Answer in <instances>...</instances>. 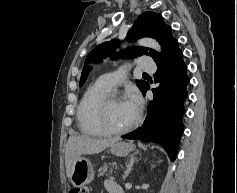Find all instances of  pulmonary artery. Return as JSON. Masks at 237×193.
Masks as SVG:
<instances>
[{
  "label": "pulmonary artery",
  "instance_id": "pulmonary-artery-1",
  "mask_svg": "<svg viewBox=\"0 0 237 193\" xmlns=\"http://www.w3.org/2000/svg\"><path fill=\"white\" fill-rule=\"evenodd\" d=\"M138 67L146 72H155L156 71V64L154 63L151 57H142L137 62ZM125 79V72L123 70L118 72L106 73L101 75L98 78V82L105 86L106 88L113 90L118 85H120Z\"/></svg>",
  "mask_w": 237,
  "mask_h": 193
}]
</instances>
